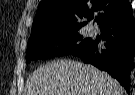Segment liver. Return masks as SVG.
Masks as SVG:
<instances>
[{
	"label": "liver",
	"instance_id": "liver-1",
	"mask_svg": "<svg viewBox=\"0 0 135 95\" xmlns=\"http://www.w3.org/2000/svg\"><path fill=\"white\" fill-rule=\"evenodd\" d=\"M24 95H123V88L93 66L57 60L29 76Z\"/></svg>",
	"mask_w": 135,
	"mask_h": 95
}]
</instances>
